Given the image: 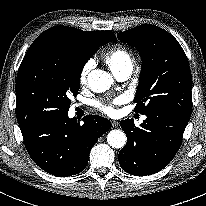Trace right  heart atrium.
<instances>
[{"mask_svg": "<svg viewBox=\"0 0 206 206\" xmlns=\"http://www.w3.org/2000/svg\"><path fill=\"white\" fill-rule=\"evenodd\" d=\"M93 67H94V61L92 59L85 62V64L81 68V71L79 74L80 84L83 85L87 82L88 75H89L90 71L93 69Z\"/></svg>", "mask_w": 206, "mask_h": 206, "instance_id": "d8ad5b80", "label": "right heart atrium"}]
</instances>
